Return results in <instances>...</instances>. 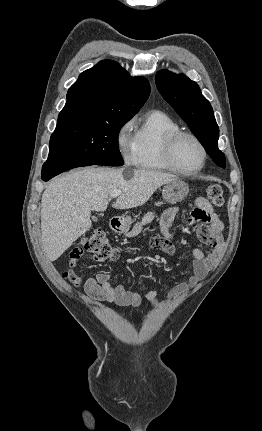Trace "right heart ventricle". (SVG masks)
Returning a JSON list of instances; mask_svg holds the SVG:
<instances>
[{
	"label": "right heart ventricle",
	"mask_w": 262,
	"mask_h": 431,
	"mask_svg": "<svg viewBox=\"0 0 262 431\" xmlns=\"http://www.w3.org/2000/svg\"><path fill=\"white\" fill-rule=\"evenodd\" d=\"M181 131L178 123L164 112H147L134 123V163L141 169L174 171L164 158L169 135Z\"/></svg>",
	"instance_id": "obj_1"
}]
</instances>
